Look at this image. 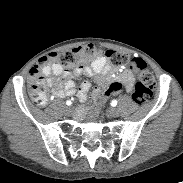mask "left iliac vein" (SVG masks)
<instances>
[{
    "label": "left iliac vein",
    "instance_id": "obj_1",
    "mask_svg": "<svg viewBox=\"0 0 183 183\" xmlns=\"http://www.w3.org/2000/svg\"><path fill=\"white\" fill-rule=\"evenodd\" d=\"M120 112L117 108H110L108 111H107V115L109 117H117L119 116Z\"/></svg>",
    "mask_w": 183,
    "mask_h": 183
}]
</instances>
